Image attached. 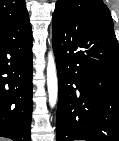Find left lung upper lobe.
<instances>
[{
  "label": "left lung upper lobe",
  "instance_id": "1",
  "mask_svg": "<svg viewBox=\"0 0 119 141\" xmlns=\"http://www.w3.org/2000/svg\"><path fill=\"white\" fill-rule=\"evenodd\" d=\"M53 14L113 27L110 11L102 0H57Z\"/></svg>",
  "mask_w": 119,
  "mask_h": 141
}]
</instances>
